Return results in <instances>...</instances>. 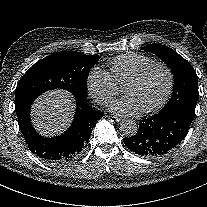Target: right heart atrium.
Listing matches in <instances>:
<instances>
[{
  "mask_svg": "<svg viewBox=\"0 0 207 207\" xmlns=\"http://www.w3.org/2000/svg\"><path fill=\"white\" fill-rule=\"evenodd\" d=\"M86 88L99 105H107L116 95L117 89L109 74L99 67H93L86 78Z\"/></svg>",
  "mask_w": 207,
  "mask_h": 207,
  "instance_id": "right-heart-atrium-1",
  "label": "right heart atrium"
}]
</instances>
